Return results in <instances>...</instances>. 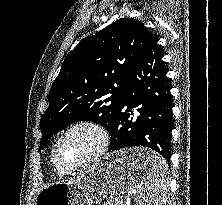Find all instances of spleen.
Returning <instances> with one entry per match:
<instances>
[{"label": "spleen", "mask_w": 222, "mask_h": 205, "mask_svg": "<svg viewBox=\"0 0 222 205\" xmlns=\"http://www.w3.org/2000/svg\"><path fill=\"white\" fill-rule=\"evenodd\" d=\"M144 186L138 190V205H165L168 191V168L166 161L158 154L146 157Z\"/></svg>", "instance_id": "3e777b00"}]
</instances>
